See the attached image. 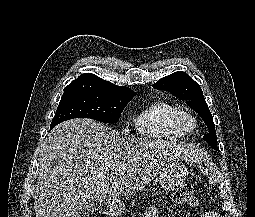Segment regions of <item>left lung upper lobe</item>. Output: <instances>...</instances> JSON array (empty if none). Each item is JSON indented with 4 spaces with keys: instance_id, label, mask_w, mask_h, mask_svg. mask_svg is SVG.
Returning a JSON list of instances; mask_svg holds the SVG:
<instances>
[{
    "instance_id": "1",
    "label": "left lung upper lobe",
    "mask_w": 255,
    "mask_h": 217,
    "mask_svg": "<svg viewBox=\"0 0 255 217\" xmlns=\"http://www.w3.org/2000/svg\"><path fill=\"white\" fill-rule=\"evenodd\" d=\"M153 87L168 91L179 99L185 100L186 104L200 115L209 129V132L203 136V139L213 149L219 151L213 118L203 96L202 89L197 82L192 80L185 72H175L161 78L157 83L153 84Z\"/></svg>"
}]
</instances>
